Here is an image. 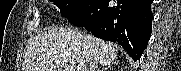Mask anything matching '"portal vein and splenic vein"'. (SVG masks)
<instances>
[{
  "label": "portal vein and splenic vein",
  "instance_id": "18ae733b",
  "mask_svg": "<svg viewBox=\"0 0 181 71\" xmlns=\"http://www.w3.org/2000/svg\"><path fill=\"white\" fill-rule=\"evenodd\" d=\"M65 71H74V69L72 67H66Z\"/></svg>",
  "mask_w": 181,
  "mask_h": 71
}]
</instances>
